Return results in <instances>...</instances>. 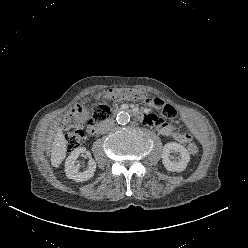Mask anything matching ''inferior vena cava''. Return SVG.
Masks as SVG:
<instances>
[{"label":"inferior vena cava","instance_id":"obj_1","mask_svg":"<svg viewBox=\"0 0 248 248\" xmlns=\"http://www.w3.org/2000/svg\"><path fill=\"white\" fill-rule=\"evenodd\" d=\"M114 120L111 118H108L104 121H102L99 124V130L101 133H106L107 131H109L113 126H114Z\"/></svg>","mask_w":248,"mask_h":248}]
</instances>
